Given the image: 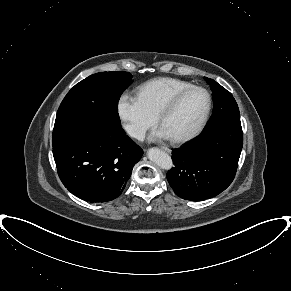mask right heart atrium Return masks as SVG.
<instances>
[{
	"instance_id": "d8ad5b80",
	"label": "right heart atrium",
	"mask_w": 291,
	"mask_h": 291,
	"mask_svg": "<svg viewBox=\"0 0 291 291\" xmlns=\"http://www.w3.org/2000/svg\"><path fill=\"white\" fill-rule=\"evenodd\" d=\"M118 114L126 132L134 139H142L146 131L156 124L137 96L123 93L118 99Z\"/></svg>"
}]
</instances>
